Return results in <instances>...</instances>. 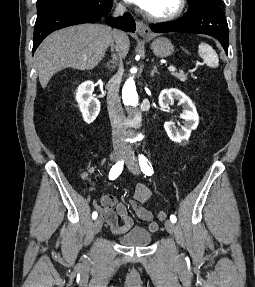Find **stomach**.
<instances>
[{"instance_id":"stomach-1","label":"stomach","mask_w":255,"mask_h":287,"mask_svg":"<svg viewBox=\"0 0 255 287\" xmlns=\"http://www.w3.org/2000/svg\"><path fill=\"white\" fill-rule=\"evenodd\" d=\"M153 36H147L146 40H152ZM155 56L158 58H168L174 52V46L168 38H155L151 44Z\"/></svg>"}]
</instances>
